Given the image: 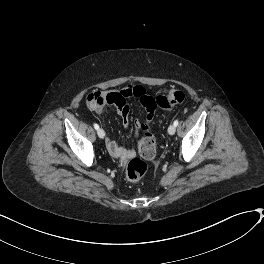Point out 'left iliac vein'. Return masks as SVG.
Masks as SVG:
<instances>
[{
  "label": "left iliac vein",
  "mask_w": 264,
  "mask_h": 264,
  "mask_svg": "<svg viewBox=\"0 0 264 264\" xmlns=\"http://www.w3.org/2000/svg\"><path fill=\"white\" fill-rule=\"evenodd\" d=\"M175 132H176V126H175L174 124L170 125V126L168 127V133H169L170 135H173Z\"/></svg>",
  "instance_id": "left-iliac-vein-1"
}]
</instances>
